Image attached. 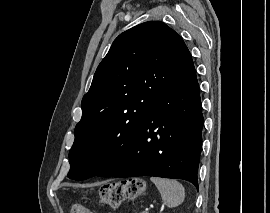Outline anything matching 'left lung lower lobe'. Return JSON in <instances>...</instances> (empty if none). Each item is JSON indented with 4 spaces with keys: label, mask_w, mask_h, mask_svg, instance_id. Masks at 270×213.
Returning a JSON list of instances; mask_svg holds the SVG:
<instances>
[{
    "label": "left lung lower lobe",
    "mask_w": 270,
    "mask_h": 213,
    "mask_svg": "<svg viewBox=\"0 0 270 213\" xmlns=\"http://www.w3.org/2000/svg\"><path fill=\"white\" fill-rule=\"evenodd\" d=\"M203 115L194 65L177 75L130 138L90 176L184 179L198 188Z\"/></svg>",
    "instance_id": "left-lung-lower-lobe-1"
}]
</instances>
